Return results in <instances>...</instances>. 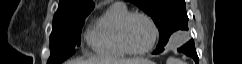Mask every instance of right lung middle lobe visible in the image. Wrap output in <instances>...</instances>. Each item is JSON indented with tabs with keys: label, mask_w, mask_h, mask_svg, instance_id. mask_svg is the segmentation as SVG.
<instances>
[{
	"label": "right lung middle lobe",
	"mask_w": 242,
	"mask_h": 64,
	"mask_svg": "<svg viewBox=\"0 0 242 64\" xmlns=\"http://www.w3.org/2000/svg\"><path fill=\"white\" fill-rule=\"evenodd\" d=\"M53 21V30L50 35L51 55L47 64H60L75 53V47L81 43V31L86 16Z\"/></svg>",
	"instance_id": "1"
}]
</instances>
